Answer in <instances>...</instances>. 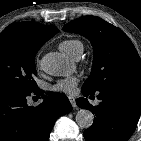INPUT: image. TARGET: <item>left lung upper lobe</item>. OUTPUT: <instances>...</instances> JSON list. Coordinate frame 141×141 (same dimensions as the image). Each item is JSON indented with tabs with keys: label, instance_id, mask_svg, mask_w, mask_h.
<instances>
[{
	"label": "left lung upper lobe",
	"instance_id": "left-lung-upper-lobe-1",
	"mask_svg": "<svg viewBox=\"0 0 141 141\" xmlns=\"http://www.w3.org/2000/svg\"><path fill=\"white\" fill-rule=\"evenodd\" d=\"M63 30L85 36L94 48L91 75L82 89L89 93L109 88L141 89V61L123 31L96 16L73 20Z\"/></svg>",
	"mask_w": 141,
	"mask_h": 141
}]
</instances>
